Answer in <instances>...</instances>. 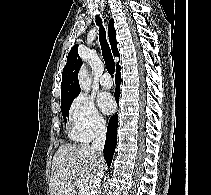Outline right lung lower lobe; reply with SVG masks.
I'll return each instance as SVG.
<instances>
[{"instance_id": "1", "label": "right lung lower lobe", "mask_w": 211, "mask_h": 195, "mask_svg": "<svg viewBox=\"0 0 211 195\" xmlns=\"http://www.w3.org/2000/svg\"><path fill=\"white\" fill-rule=\"evenodd\" d=\"M120 70L121 67L116 69V91H115V99L116 102L119 100V86L121 82V76H120ZM117 124H118V118L117 114L112 116L109 120L108 128H107V135H106V141H105V146H104V158L107 162L108 167H110L114 152H115V147L117 143Z\"/></svg>"}]
</instances>
